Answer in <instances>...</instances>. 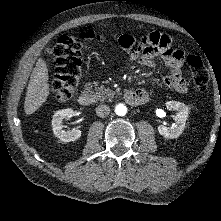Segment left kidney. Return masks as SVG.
I'll list each match as a JSON object with an SVG mask.
<instances>
[{"mask_svg": "<svg viewBox=\"0 0 221 221\" xmlns=\"http://www.w3.org/2000/svg\"><path fill=\"white\" fill-rule=\"evenodd\" d=\"M165 104L168 110L177 111V115L174 117L175 123L171 127L159 125L158 132L167 139L177 138L182 134L185 128V122L188 118L189 109L185 104L177 101H168Z\"/></svg>", "mask_w": 221, "mask_h": 221, "instance_id": "obj_1", "label": "left kidney"}]
</instances>
